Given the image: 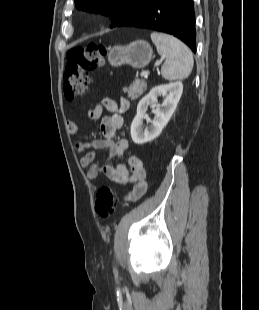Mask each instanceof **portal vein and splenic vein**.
Masks as SVG:
<instances>
[{
  "label": "portal vein and splenic vein",
  "mask_w": 259,
  "mask_h": 310,
  "mask_svg": "<svg viewBox=\"0 0 259 310\" xmlns=\"http://www.w3.org/2000/svg\"><path fill=\"white\" fill-rule=\"evenodd\" d=\"M149 74H150L149 71H142L141 74H140V77L147 78Z\"/></svg>",
  "instance_id": "portal-vein-and-splenic-vein-1"
}]
</instances>
